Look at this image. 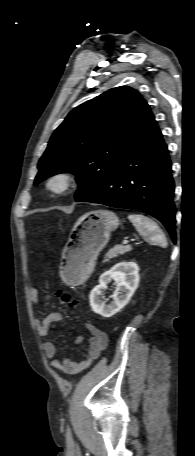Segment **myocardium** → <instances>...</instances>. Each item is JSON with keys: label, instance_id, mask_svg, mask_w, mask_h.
Instances as JSON below:
<instances>
[{"label": "myocardium", "instance_id": "f54148a6", "mask_svg": "<svg viewBox=\"0 0 195 456\" xmlns=\"http://www.w3.org/2000/svg\"><path fill=\"white\" fill-rule=\"evenodd\" d=\"M74 184V176L68 172H59L51 175L46 181V189L54 195L68 192Z\"/></svg>", "mask_w": 195, "mask_h": 456}]
</instances>
